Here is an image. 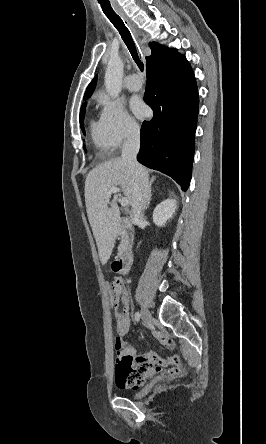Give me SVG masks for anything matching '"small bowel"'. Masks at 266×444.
Wrapping results in <instances>:
<instances>
[{
	"instance_id": "small-bowel-1",
	"label": "small bowel",
	"mask_w": 266,
	"mask_h": 444,
	"mask_svg": "<svg viewBox=\"0 0 266 444\" xmlns=\"http://www.w3.org/2000/svg\"><path fill=\"white\" fill-rule=\"evenodd\" d=\"M120 302L123 310H116L114 313L116 331L118 336L115 339V349L117 353L115 366V382L122 389H138L145 382L157 374H164L168 377H177L184 373L178 355L164 359L155 353L137 356L134 347L123 339L128 335L131 327L128 307L130 297L125 288L120 295ZM159 342L167 348L172 347V341L167 336H158Z\"/></svg>"
}]
</instances>
